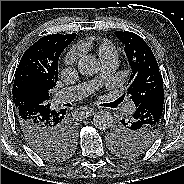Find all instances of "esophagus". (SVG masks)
Wrapping results in <instances>:
<instances>
[{
  "mask_svg": "<svg viewBox=\"0 0 184 184\" xmlns=\"http://www.w3.org/2000/svg\"><path fill=\"white\" fill-rule=\"evenodd\" d=\"M94 113H95V110L92 109V108H89V109L83 111V112H82V115H83L84 117H89V116L94 115Z\"/></svg>",
  "mask_w": 184,
  "mask_h": 184,
  "instance_id": "1",
  "label": "esophagus"
}]
</instances>
